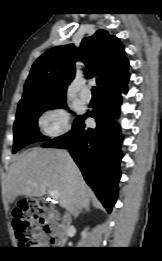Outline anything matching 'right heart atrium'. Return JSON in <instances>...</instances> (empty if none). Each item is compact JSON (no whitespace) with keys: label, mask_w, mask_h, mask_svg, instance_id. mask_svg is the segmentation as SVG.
<instances>
[{"label":"right heart atrium","mask_w":162,"mask_h":261,"mask_svg":"<svg viewBox=\"0 0 162 261\" xmlns=\"http://www.w3.org/2000/svg\"><path fill=\"white\" fill-rule=\"evenodd\" d=\"M41 127L49 136H59L70 127L69 113L62 106L49 109L41 119Z\"/></svg>","instance_id":"right-heart-atrium-1"}]
</instances>
